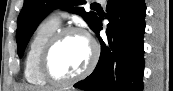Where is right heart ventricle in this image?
<instances>
[{
    "label": "right heart ventricle",
    "mask_w": 173,
    "mask_h": 91,
    "mask_svg": "<svg viewBox=\"0 0 173 91\" xmlns=\"http://www.w3.org/2000/svg\"><path fill=\"white\" fill-rule=\"evenodd\" d=\"M59 27L60 21L54 16H49L43 19L34 31L26 53L24 68L25 78L32 85L45 86L47 84L38 72V59L44 44Z\"/></svg>",
    "instance_id": "right-heart-ventricle-1"
}]
</instances>
